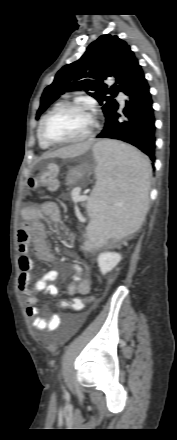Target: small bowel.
<instances>
[{
  "label": "small bowel",
  "instance_id": "small-bowel-1",
  "mask_svg": "<svg viewBox=\"0 0 177 440\" xmlns=\"http://www.w3.org/2000/svg\"><path fill=\"white\" fill-rule=\"evenodd\" d=\"M22 215L27 221V224L19 227L17 233L18 263L20 268L18 280L19 290L25 298L26 315L31 321L32 326L38 330L53 331L61 325L63 315L54 313L48 320L42 319L40 317V309L37 306V293L42 292L52 297H57L59 295V289L54 282L59 277V271L56 269L49 270L41 279L37 280L34 285L31 286L33 260L30 256L29 243L32 241L38 258L43 261H54L55 258L46 235L43 219L47 218L54 224H61L60 211L56 203L44 202L26 206L22 211ZM83 274L84 269L81 266H73V275L67 288V294L69 296L89 294L91 281L87 275L84 276Z\"/></svg>",
  "mask_w": 177,
  "mask_h": 440
}]
</instances>
